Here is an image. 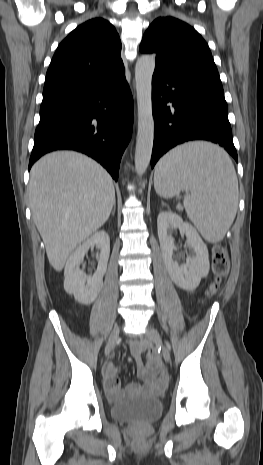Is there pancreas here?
<instances>
[{"instance_id": "obj_1", "label": "pancreas", "mask_w": 263, "mask_h": 465, "mask_svg": "<svg viewBox=\"0 0 263 465\" xmlns=\"http://www.w3.org/2000/svg\"><path fill=\"white\" fill-rule=\"evenodd\" d=\"M178 209H179V210H181V209H182V207H181V206H178Z\"/></svg>"}]
</instances>
